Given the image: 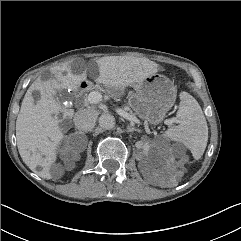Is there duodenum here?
<instances>
[{
    "label": "duodenum",
    "mask_w": 241,
    "mask_h": 241,
    "mask_svg": "<svg viewBox=\"0 0 241 241\" xmlns=\"http://www.w3.org/2000/svg\"><path fill=\"white\" fill-rule=\"evenodd\" d=\"M89 84L87 82H80L76 85L75 95H79L84 89L88 88Z\"/></svg>",
    "instance_id": "duodenum-1"
}]
</instances>
